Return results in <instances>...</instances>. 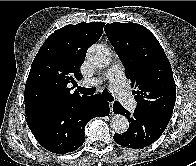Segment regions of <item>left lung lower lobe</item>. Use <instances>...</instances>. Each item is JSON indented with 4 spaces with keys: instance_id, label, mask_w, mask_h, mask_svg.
<instances>
[{
    "instance_id": "1",
    "label": "left lung lower lobe",
    "mask_w": 196,
    "mask_h": 166,
    "mask_svg": "<svg viewBox=\"0 0 196 166\" xmlns=\"http://www.w3.org/2000/svg\"><path fill=\"white\" fill-rule=\"evenodd\" d=\"M113 111L124 115L129 121V128L125 133L114 134V141L127 148L136 149L152 144L161 136L169 122L161 116L138 109L131 115L119 102L114 103Z\"/></svg>"
}]
</instances>
